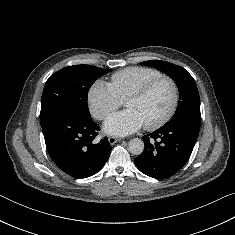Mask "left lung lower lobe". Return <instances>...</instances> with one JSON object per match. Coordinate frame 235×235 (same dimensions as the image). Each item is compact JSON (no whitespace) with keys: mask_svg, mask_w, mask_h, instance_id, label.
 <instances>
[{"mask_svg":"<svg viewBox=\"0 0 235 235\" xmlns=\"http://www.w3.org/2000/svg\"><path fill=\"white\" fill-rule=\"evenodd\" d=\"M200 122L182 120L145 135L142 138L144 151L135 159L137 168L156 179H166L177 173L192 153Z\"/></svg>","mask_w":235,"mask_h":235,"instance_id":"left-lung-lower-lobe-1","label":"left lung lower lobe"}]
</instances>
